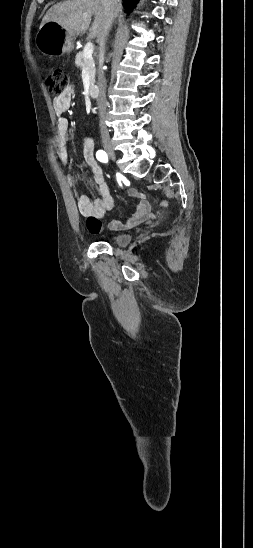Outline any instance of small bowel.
I'll list each match as a JSON object with an SVG mask.
<instances>
[{"label": "small bowel", "instance_id": "1", "mask_svg": "<svg viewBox=\"0 0 253 548\" xmlns=\"http://www.w3.org/2000/svg\"><path fill=\"white\" fill-rule=\"evenodd\" d=\"M73 89L68 86L61 94L53 99V108L58 116L57 130L53 139V144L56 149L58 158L63 164L69 163V153L67 149V139L69 122L64 114L70 109L72 102ZM83 157L91 170L93 182L99 193V198L92 199L85 194H77V206L80 214L86 218L87 229L92 234H98L102 230L101 219L105 213L111 211L114 207V199L110 193L108 185L105 181L101 166L98 164L94 156V141L91 136L84 140ZM69 184L73 185V178L67 175ZM128 195L138 201L136 211L130 215L126 221L112 220L109 223V229L117 231L129 229L139 225L152 216L150 207L145 200V193L131 189Z\"/></svg>", "mask_w": 253, "mask_h": 548}]
</instances>
